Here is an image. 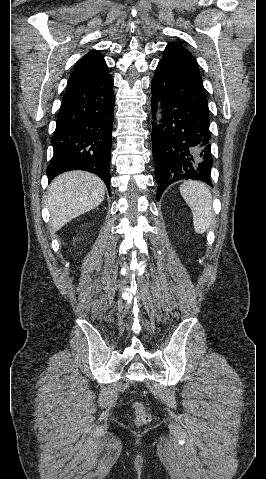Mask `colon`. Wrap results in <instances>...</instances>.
Wrapping results in <instances>:
<instances>
[{"label": "colon", "instance_id": "5ec220e1", "mask_svg": "<svg viewBox=\"0 0 266 479\" xmlns=\"http://www.w3.org/2000/svg\"><path fill=\"white\" fill-rule=\"evenodd\" d=\"M133 410L135 413V423L137 425H145L150 422L151 414L141 402H135L133 404Z\"/></svg>", "mask_w": 266, "mask_h": 479}]
</instances>
